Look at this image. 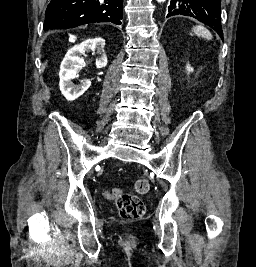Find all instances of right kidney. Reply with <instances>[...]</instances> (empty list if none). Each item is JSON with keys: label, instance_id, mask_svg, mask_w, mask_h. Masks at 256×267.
<instances>
[{"label": "right kidney", "instance_id": "obj_1", "mask_svg": "<svg viewBox=\"0 0 256 267\" xmlns=\"http://www.w3.org/2000/svg\"><path fill=\"white\" fill-rule=\"evenodd\" d=\"M105 40L104 38H89L77 46H73L68 50L63 62H61L59 78H60V92L68 102L76 100L82 96L91 86L90 80H80V86H74L71 80L77 78L76 74L79 68L85 66L82 56H86V52H100L101 58H97V68H105L107 66V56L105 54Z\"/></svg>", "mask_w": 256, "mask_h": 267}]
</instances>
